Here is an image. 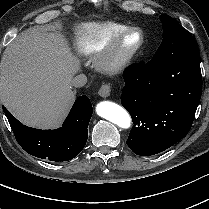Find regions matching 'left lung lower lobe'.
I'll return each instance as SVG.
<instances>
[{"mask_svg": "<svg viewBox=\"0 0 209 209\" xmlns=\"http://www.w3.org/2000/svg\"><path fill=\"white\" fill-rule=\"evenodd\" d=\"M121 104L132 117L127 145L137 155L160 153L189 132L202 91L200 53L168 63L132 65Z\"/></svg>", "mask_w": 209, "mask_h": 209, "instance_id": "0a47b994", "label": "left lung lower lobe"}]
</instances>
